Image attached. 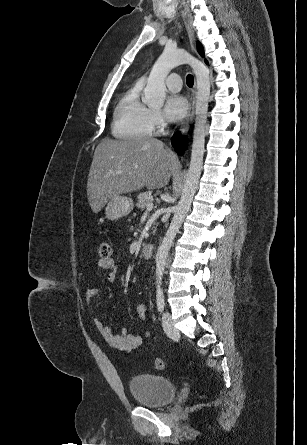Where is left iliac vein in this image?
<instances>
[{
    "instance_id": "obj_1",
    "label": "left iliac vein",
    "mask_w": 307,
    "mask_h": 445,
    "mask_svg": "<svg viewBox=\"0 0 307 445\" xmlns=\"http://www.w3.org/2000/svg\"><path fill=\"white\" fill-rule=\"evenodd\" d=\"M162 325L165 333L170 337H175L179 335L178 329L174 326L171 314L169 312H164L162 316Z\"/></svg>"
}]
</instances>
